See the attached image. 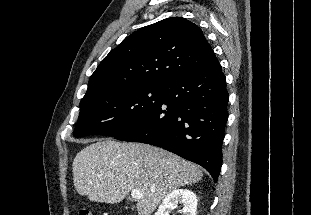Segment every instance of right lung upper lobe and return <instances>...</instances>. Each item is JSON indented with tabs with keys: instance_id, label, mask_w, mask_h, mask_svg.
I'll use <instances>...</instances> for the list:
<instances>
[{
	"instance_id": "obj_1",
	"label": "right lung upper lobe",
	"mask_w": 311,
	"mask_h": 215,
	"mask_svg": "<svg viewBox=\"0 0 311 215\" xmlns=\"http://www.w3.org/2000/svg\"><path fill=\"white\" fill-rule=\"evenodd\" d=\"M215 61L197 25L181 17L167 18L135 31L111 50L90 77L84 97L136 86H163Z\"/></svg>"
}]
</instances>
